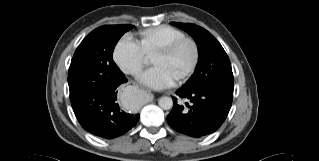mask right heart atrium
Masks as SVG:
<instances>
[{
    "label": "right heart atrium",
    "instance_id": "obj_1",
    "mask_svg": "<svg viewBox=\"0 0 319 161\" xmlns=\"http://www.w3.org/2000/svg\"><path fill=\"white\" fill-rule=\"evenodd\" d=\"M117 66L127 74H138L145 64V54L130 36H123L113 48Z\"/></svg>",
    "mask_w": 319,
    "mask_h": 161
}]
</instances>
